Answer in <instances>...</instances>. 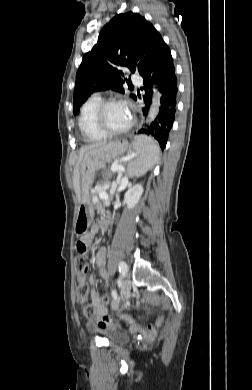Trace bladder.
Returning <instances> with one entry per match:
<instances>
[{
  "instance_id": "obj_1",
  "label": "bladder",
  "mask_w": 252,
  "mask_h": 390,
  "mask_svg": "<svg viewBox=\"0 0 252 390\" xmlns=\"http://www.w3.org/2000/svg\"><path fill=\"white\" fill-rule=\"evenodd\" d=\"M103 334L113 343H125L129 340V335L127 333L114 328L104 329Z\"/></svg>"
}]
</instances>
